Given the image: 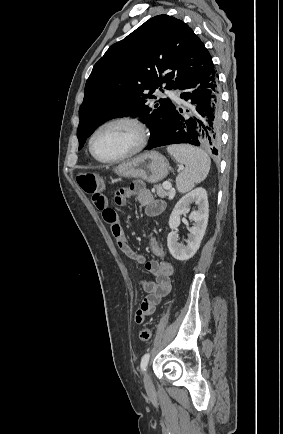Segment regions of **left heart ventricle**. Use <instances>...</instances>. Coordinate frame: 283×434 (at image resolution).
I'll return each instance as SVG.
<instances>
[{
    "label": "left heart ventricle",
    "mask_w": 283,
    "mask_h": 434,
    "mask_svg": "<svg viewBox=\"0 0 283 434\" xmlns=\"http://www.w3.org/2000/svg\"><path fill=\"white\" fill-rule=\"evenodd\" d=\"M137 142L136 130L124 123L109 125L94 138L93 149L104 159L119 157L130 151Z\"/></svg>",
    "instance_id": "left-heart-ventricle-1"
}]
</instances>
